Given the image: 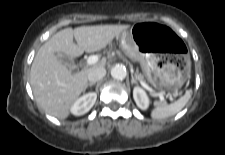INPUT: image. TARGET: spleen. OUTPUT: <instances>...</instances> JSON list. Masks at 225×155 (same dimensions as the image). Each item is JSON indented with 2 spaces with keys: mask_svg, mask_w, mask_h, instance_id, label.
I'll list each match as a JSON object with an SVG mask.
<instances>
[{
  "mask_svg": "<svg viewBox=\"0 0 225 155\" xmlns=\"http://www.w3.org/2000/svg\"><path fill=\"white\" fill-rule=\"evenodd\" d=\"M192 91L188 90L185 95L180 97L177 101L171 103V104H165V105H160L154 108L151 112V117L153 119H164L170 116H173L180 112L189 99L191 98Z\"/></svg>",
  "mask_w": 225,
  "mask_h": 155,
  "instance_id": "3e777b00",
  "label": "spleen"
}]
</instances>
